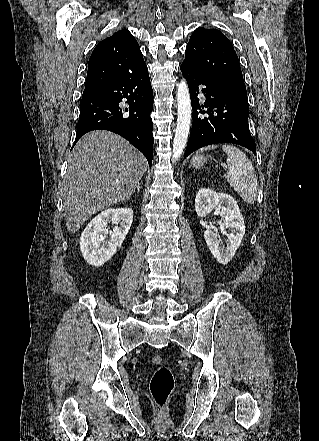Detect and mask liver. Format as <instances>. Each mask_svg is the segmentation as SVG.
I'll return each instance as SVG.
<instances>
[{"mask_svg":"<svg viewBox=\"0 0 319 441\" xmlns=\"http://www.w3.org/2000/svg\"><path fill=\"white\" fill-rule=\"evenodd\" d=\"M146 158L108 131H91L74 146L63 181L66 225L75 233L93 214L129 199L147 170Z\"/></svg>","mask_w":319,"mask_h":441,"instance_id":"obj_1","label":"liver"}]
</instances>
